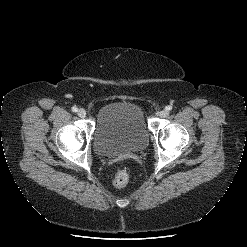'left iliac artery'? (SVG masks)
Wrapping results in <instances>:
<instances>
[{"label": "left iliac artery", "instance_id": "obj_1", "mask_svg": "<svg viewBox=\"0 0 247 247\" xmlns=\"http://www.w3.org/2000/svg\"><path fill=\"white\" fill-rule=\"evenodd\" d=\"M166 109L167 110H171L172 109V106H168Z\"/></svg>", "mask_w": 247, "mask_h": 247}]
</instances>
